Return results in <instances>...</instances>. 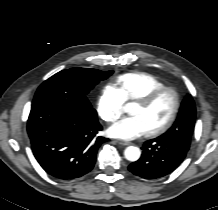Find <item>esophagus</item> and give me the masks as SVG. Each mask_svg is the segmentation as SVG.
Instances as JSON below:
<instances>
[{"mask_svg": "<svg viewBox=\"0 0 218 210\" xmlns=\"http://www.w3.org/2000/svg\"><path fill=\"white\" fill-rule=\"evenodd\" d=\"M116 142L120 145H123V146H127V145H130V142L128 141H123V140H116Z\"/></svg>", "mask_w": 218, "mask_h": 210, "instance_id": "obj_1", "label": "esophagus"}]
</instances>
